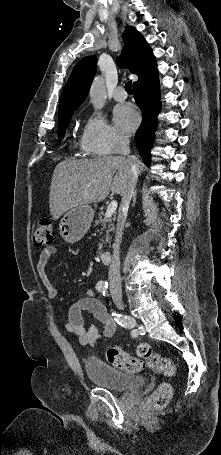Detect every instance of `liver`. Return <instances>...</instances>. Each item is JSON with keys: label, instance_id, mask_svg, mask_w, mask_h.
<instances>
[{"label": "liver", "instance_id": "obj_1", "mask_svg": "<svg viewBox=\"0 0 221 455\" xmlns=\"http://www.w3.org/2000/svg\"><path fill=\"white\" fill-rule=\"evenodd\" d=\"M140 171L143 164L133 160ZM130 161L123 156L100 157L91 160H65L53 173L49 208L53 219H58L69 209L104 200L109 192H124Z\"/></svg>", "mask_w": 221, "mask_h": 455}]
</instances>
